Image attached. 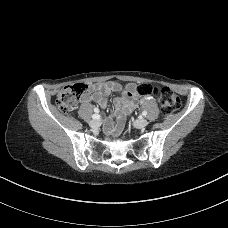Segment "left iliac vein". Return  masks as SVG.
<instances>
[{
  "label": "left iliac vein",
  "instance_id": "obj_1",
  "mask_svg": "<svg viewBox=\"0 0 228 228\" xmlns=\"http://www.w3.org/2000/svg\"><path fill=\"white\" fill-rule=\"evenodd\" d=\"M148 124V121L146 119H139L134 122V126L136 128H144Z\"/></svg>",
  "mask_w": 228,
  "mask_h": 228
}]
</instances>
